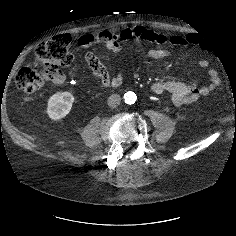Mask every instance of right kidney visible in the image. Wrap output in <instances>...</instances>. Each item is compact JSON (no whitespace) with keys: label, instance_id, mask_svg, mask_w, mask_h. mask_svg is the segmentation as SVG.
I'll list each match as a JSON object with an SVG mask.
<instances>
[{"label":"right kidney","instance_id":"1","mask_svg":"<svg viewBox=\"0 0 236 236\" xmlns=\"http://www.w3.org/2000/svg\"><path fill=\"white\" fill-rule=\"evenodd\" d=\"M74 96L70 92H58L48 100L47 114L52 120H59L71 111Z\"/></svg>","mask_w":236,"mask_h":236}]
</instances>
